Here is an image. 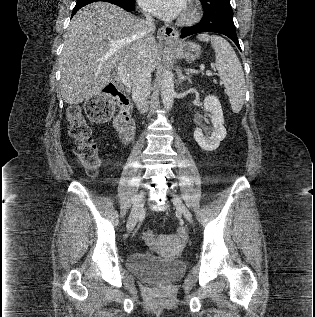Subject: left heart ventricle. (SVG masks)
I'll return each instance as SVG.
<instances>
[{"label": "left heart ventricle", "mask_w": 315, "mask_h": 317, "mask_svg": "<svg viewBox=\"0 0 315 317\" xmlns=\"http://www.w3.org/2000/svg\"><path fill=\"white\" fill-rule=\"evenodd\" d=\"M184 11H185V8H184V10L182 11V13H184Z\"/></svg>", "instance_id": "obj_1"}]
</instances>
